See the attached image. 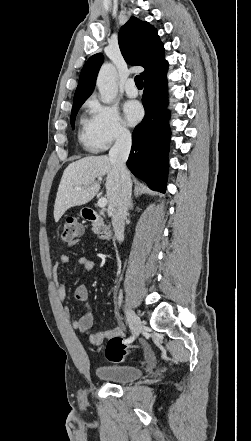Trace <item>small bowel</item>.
<instances>
[{"mask_svg":"<svg viewBox=\"0 0 251 441\" xmlns=\"http://www.w3.org/2000/svg\"><path fill=\"white\" fill-rule=\"evenodd\" d=\"M77 240H73L71 245H75ZM71 261L68 254H62L58 261L53 264L52 274L55 281L57 295L61 301L67 299V291L64 283L59 279L58 270L60 264H67ZM77 265L85 272H90L94 268V262L84 256L77 258ZM75 299L84 303V312L79 318H72L68 307L65 308V312L71 321V325L75 330H78L83 336L87 337L91 344L99 346L106 338L121 337L123 330L119 326H112L104 331H93V314L89 304V293L84 285H78L74 291ZM147 359L149 361L154 360L152 353H147Z\"/></svg>","mask_w":251,"mask_h":441,"instance_id":"c3829d8e","label":"small bowel"}]
</instances>
